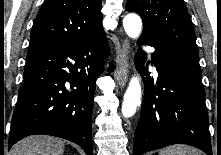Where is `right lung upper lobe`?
Returning a JSON list of instances; mask_svg holds the SVG:
<instances>
[{
  "instance_id": "right-lung-upper-lobe-1",
  "label": "right lung upper lobe",
  "mask_w": 221,
  "mask_h": 155,
  "mask_svg": "<svg viewBox=\"0 0 221 155\" xmlns=\"http://www.w3.org/2000/svg\"><path fill=\"white\" fill-rule=\"evenodd\" d=\"M101 0H46L35 19L30 46L79 42L104 33Z\"/></svg>"
}]
</instances>
